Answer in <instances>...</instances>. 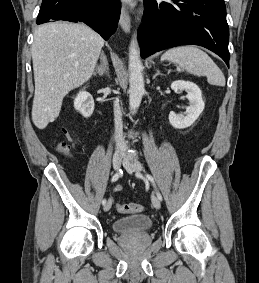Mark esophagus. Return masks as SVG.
<instances>
[{
    "instance_id": "1",
    "label": "esophagus",
    "mask_w": 259,
    "mask_h": 283,
    "mask_svg": "<svg viewBox=\"0 0 259 283\" xmlns=\"http://www.w3.org/2000/svg\"><path fill=\"white\" fill-rule=\"evenodd\" d=\"M120 26L125 33L130 32V28H131V26H130V16H129L125 6H123L122 10H121Z\"/></svg>"
}]
</instances>
